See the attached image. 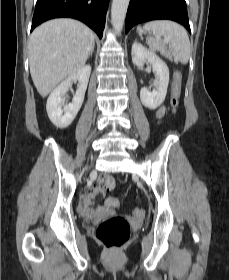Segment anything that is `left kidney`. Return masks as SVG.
<instances>
[{
	"label": "left kidney",
	"mask_w": 229,
	"mask_h": 280,
	"mask_svg": "<svg viewBox=\"0 0 229 280\" xmlns=\"http://www.w3.org/2000/svg\"><path fill=\"white\" fill-rule=\"evenodd\" d=\"M132 62L134 65L140 67L145 62L152 65L153 72L157 77L155 82V89L152 92L147 87L140 90V99L142 104L149 109H156L165 100L167 88L169 83V69L166 63L160 59L155 53L147 50L140 43L132 45Z\"/></svg>",
	"instance_id": "1"
}]
</instances>
